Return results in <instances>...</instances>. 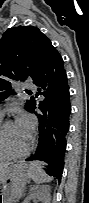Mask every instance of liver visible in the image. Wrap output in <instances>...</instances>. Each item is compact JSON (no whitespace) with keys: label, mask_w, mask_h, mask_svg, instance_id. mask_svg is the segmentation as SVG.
Masks as SVG:
<instances>
[{"label":"liver","mask_w":89,"mask_h":203,"mask_svg":"<svg viewBox=\"0 0 89 203\" xmlns=\"http://www.w3.org/2000/svg\"><path fill=\"white\" fill-rule=\"evenodd\" d=\"M6 169H7V165H6V164L1 165V168H0L1 182H2L3 177H4V175H5Z\"/></svg>","instance_id":"1"}]
</instances>
